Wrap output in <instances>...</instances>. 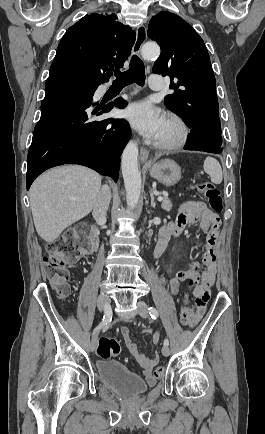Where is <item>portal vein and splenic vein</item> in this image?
I'll return each mask as SVG.
<instances>
[{
	"label": "portal vein and splenic vein",
	"mask_w": 265,
	"mask_h": 434,
	"mask_svg": "<svg viewBox=\"0 0 265 434\" xmlns=\"http://www.w3.org/2000/svg\"><path fill=\"white\" fill-rule=\"evenodd\" d=\"M162 200H163L162 196H159L158 202H162Z\"/></svg>",
	"instance_id": "obj_1"
}]
</instances>
